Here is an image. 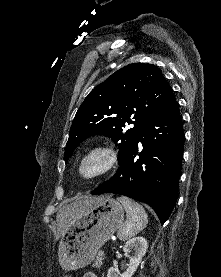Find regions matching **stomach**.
<instances>
[{
  "instance_id": "obj_1",
  "label": "stomach",
  "mask_w": 221,
  "mask_h": 277,
  "mask_svg": "<svg viewBox=\"0 0 221 277\" xmlns=\"http://www.w3.org/2000/svg\"><path fill=\"white\" fill-rule=\"evenodd\" d=\"M123 221L122 205L110 197L100 196L93 206L83 208L69 221L61 236L58 247L61 267L69 271L89 265Z\"/></svg>"
}]
</instances>
